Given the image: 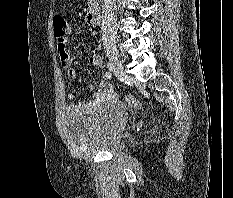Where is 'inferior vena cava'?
<instances>
[{
    "label": "inferior vena cava",
    "instance_id": "1",
    "mask_svg": "<svg viewBox=\"0 0 233 198\" xmlns=\"http://www.w3.org/2000/svg\"><path fill=\"white\" fill-rule=\"evenodd\" d=\"M102 5V39L104 49L107 52L116 50V30L115 23L117 20L115 13V3L114 0H103Z\"/></svg>",
    "mask_w": 233,
    "mask_h": 198
}]
</instances>
